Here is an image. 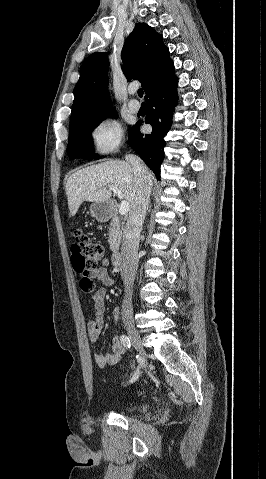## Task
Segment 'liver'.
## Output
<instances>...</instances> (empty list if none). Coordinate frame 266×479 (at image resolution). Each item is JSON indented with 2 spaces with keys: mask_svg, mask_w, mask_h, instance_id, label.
Here are the masks:
<instances>
[{
  "mask_svg": "<svg viewBox=\"0 0 266 479\" xmlns=\"http://www.w3.org/2000/svg\"><path fill=\"white\" fill-rule=\"evenodd\" d=\"M149 174L153 180L154 175ZM135 182L131 164L121 160H108L76 171L68 178L65 187L70 215L74 216L84 201L110 200L112 190L108 186L118 188L131 209L136 194Z\"/></svg>",
  "mask_w": 266,
  "mask_h": 479,
  "instance_id": "6515ba94",
  "label": "liver"
}]
</instances>
